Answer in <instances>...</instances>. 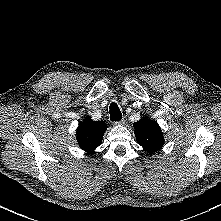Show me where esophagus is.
I'll use <instances>...</instances> for the list:
<instances>
[{
	"label": "esophagus",
	"instance_id": "obj_1",
	"mask_svg": "<svg viewBox=\"0 0 221 221\" xmlns=\"http://www.w3.org/2000/svg\"><path fill=\"white\" fill-rule=\"evenodd\" d=\"M113 124L114 125H124L125 121L124 120H119V121H115Z\"/></svg>",
	"mask_w": 221,
	"mask_h": 221
}]
</instances>
